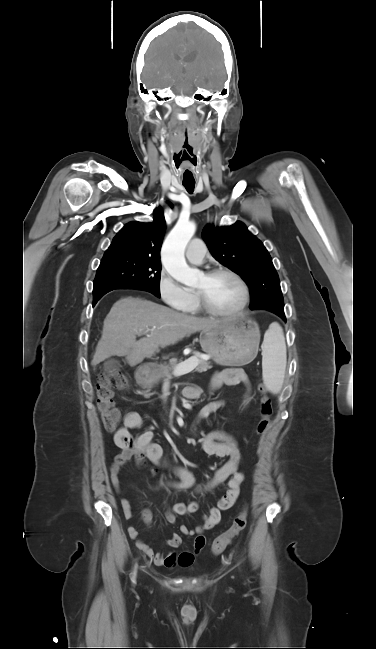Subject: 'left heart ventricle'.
Instances as JSON below:
<instances>
[{"instance_id":"b2bd125f","label":"left heart ventricle","mask_w":376,"mask_h":649,"mask_svg":"<svg viewBox=\"0 0 376 649\" xmlns=\"http://www.w3.org/2000/svg\"><path fill=\"white\" fill-rule=\"evenodd\" d=\"M195 289L202 290L210 305L222 311L235 309L242 300L240 285L228 274H218L211 278L203 275Z\"/></svg>"}]
</instances>
